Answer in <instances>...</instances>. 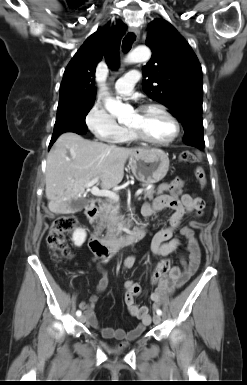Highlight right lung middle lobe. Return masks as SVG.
Returning <instances> with one entry per match:
<instances>
[{
    "instance_id": "dd1d6c3e",
    "label": "right lung middle lobe",
    "mask_w": 247,
    "mask_h": 385,
    "mask_svg": "<svg viewBox=\"0 0 247 385\" xmlns=\"http://www.w3.org/2000/svg\"><path fill=\"white\" fill-rule=\"evenodd\" d=\"M94 99L79 96L59 97L53 135L74 129H87L85 118L94 104Z\"/></svg>"
}]
</instances>
